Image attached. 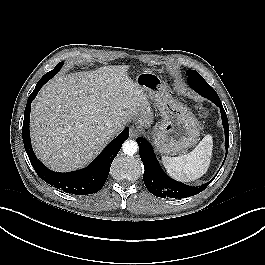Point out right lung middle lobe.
Instances as JSON below:
<instances>
[{"label":"right lung middle lobe","mask_w":265,"mask_h":265,"mask_svg":"<svg viewBox=\"0 0 265 265\" xmlns=\"http://www.w3.org/2000/svg\"><path fill=\"white\" fill-rule=\"evenodd\" d=\"M62 65L63 62L58 63L52 71L47 73V75H52L53 77L61 69Z\"/></svg>","instance_id":"obj_1"}]
</instances>
